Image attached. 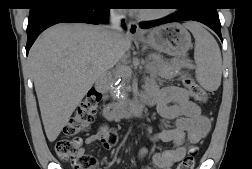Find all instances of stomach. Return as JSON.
<instances>
[{
    "mask_svg": "<svg viewBox=\"0 0 252 169\" xmlns=\"http://www.w3.org/2000/svg\"><path fill=\"white\" fill-rule=\"evenodd\" d=\"M137 39L172 56L183 55L192 46L189 32L178 23L162 25L151 30L146 37L140 36Z\"/></svg>",
    "mask_w": 252,
    "mask_h": 169,
    "instance_id": "1",
    "label": "stomach"
}]
</instances>
